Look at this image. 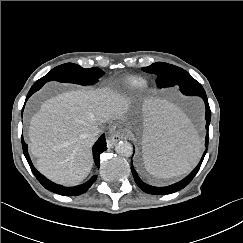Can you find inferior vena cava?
Listing matches in <instances>:
<instances>
[{
    "label": "inferior vena cava",
    "mask_w": 243,
    "mask_h": 243,
    "mask_svg": "<svg viewBox=\"0 0 243 243\" xmlns=\"http://www.w3.org/2000/svg\"><path fill=\"white\" fill-rule=\"evenodd\" d=\"M103 130L101 128H98L95 132H94V135L97 136L99 135L100 133H102Z\"/></svg>",
    "instance_id": "602c4592"
}]
</instances>
